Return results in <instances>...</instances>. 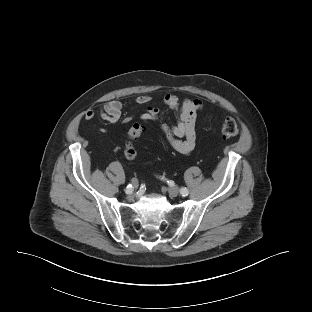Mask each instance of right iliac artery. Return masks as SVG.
Returning a JSON list of instances; mask_svg holds the SVG:
<instances>
[{
    "label": "right iliac artery",
    "mask_w": 312,
    "mask_h": 312,
    "mask_svg": "<svg viewBox=\"0 0 312 312\" xmlns=\"http://www.w3.org/2000/svg\"><path fill=\"white\" fill-rule=\"evenodd\" d=\"M126 193L129 194V193H132L133 191V186L131 184H129L127 187H126Z\"/></svg>",
    "instance_id": "82829eb1"
}]
</instances>
